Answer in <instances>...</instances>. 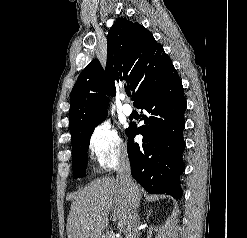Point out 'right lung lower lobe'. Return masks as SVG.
I'll use <instances>...</instances> for the list:
<instances>
[{"mask_svg":"<svg viewBox=\"0 0 247 238\" xmlns=\"http://www.w3.org/2000/svg\"><path fill=\"white\" fill-rule=\"evenodd\" d=\"M134 105L145 110L142 115L145 122L139 128L130 124L126 129L131 174L149 193H166L179 199L182 196L179 177L185 169L182 132L186 100L174 66ZM136 134L143 135L142 144L134 142Z\"/></svg>","mask_w":247,"mask_h":238,"instance_id":"98d812e1","label":"right lung lower lobe"}]
</instances>
